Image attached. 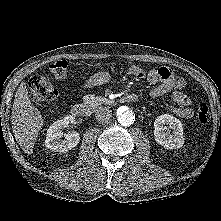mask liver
Segmentation results:
<instances>
[{
  "mask_svg": "<svg viewBox=\"0 0 221 221\" xmlns=\"http://www.w3.org/2000/svg\"><path fill=\"white\" fill-rule=\"evenodd\" d=\"M11 123L14 137L22 150L27 154H32L44 120L38 109L32 105L25 82H22L16 91Z\"/></svg>",
  "mask_w": 221,
  "mask_h": 221,
  "instance_id": "6515ba94",
  "label": "liver"
}]
</instances>
